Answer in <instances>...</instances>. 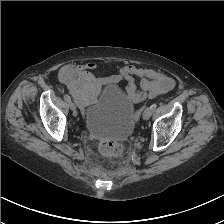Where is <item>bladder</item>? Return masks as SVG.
Masks as SVG:
<instances>
[{
	"mask_svg": "<svg viewBox=\"0 0 224 224\" xmlns=\"http://www.w3.org/2000/svg\"><path fill=\"white\" fill-rule=\"evenodd\" d=\"M85 129L93 136L126 138L134 127L131 99L114 84L103 87L98 99L85 109Z\"/></svg>",
	"mask_w": 224,
	"mask_h": 224,
	"instance_id": "1",
	"label": "bladder"
}]
</instances>
